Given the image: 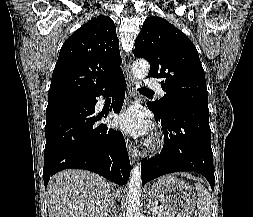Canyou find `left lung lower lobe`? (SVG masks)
Returning a JSON list of instances; mask_svg holds the SVG:
<instances>
[{
    "label": "left lung lower lobe",
    "instance_id": "1",
    "mask_svg": "<svg viewBox=\"0 0 253 217\" xmlns=\"http://www.w3.org/2000/svg\"><path fill=\"white\" fill-rule=\"evenodd\" d=\"M148 107L161 124L165 142L160 154L142 160V184L164 174L193 171L203 175L214 189L209 112L172 107L160 114L152 104H148Z\"/></svg>",
    "mask_w": 253,
    "mask_h": 217
}]
</instances>
